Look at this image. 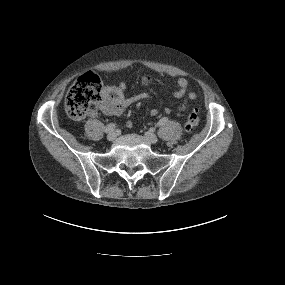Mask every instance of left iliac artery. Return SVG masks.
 <instances>
[{
    "label": "left iliac artery",
    "mask_w": 285,
    "mask_h": 285,
    "mask_svg": "<svg viewBox=\"0 0 285 285\" xmlns=\"http://www.w3.org/2000/svg\"><path fill=\"white\" fill-rule=\"evenodd\" d=\"M167 121H168V118H167V117H163V118H161V119L159 120L158 125H159V126H162V125H164Z\"/></svg>",
    "instance_id": "left-iliac-artery-1"
}]
</instances>
